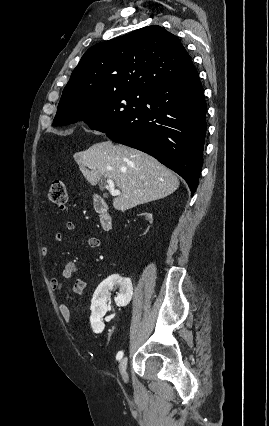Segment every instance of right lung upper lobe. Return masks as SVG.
<instances>
[{
	"instance_id": "right-lung-upper-lobe-1",
	"label": "right lung upper lobe",
	"mask_w": 269,
	"mask_h": 426,
	"mask_svg": "<svg viewBox=\"0 0 269 426\" xmlns=\"http://www.w3.org/2000/svg\"><path fill=\"white\" fill-rule=\"evenodd\" d=\"M192 69V61L175 35L160 26H147L89 48L61 98L147 93Z\"/></svg>"
}]
</instances>
